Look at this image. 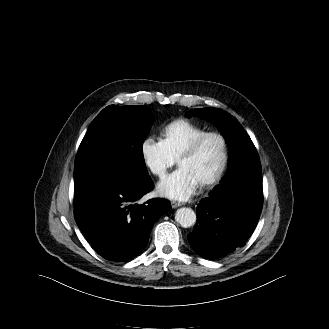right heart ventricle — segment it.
Returning <instances> with one entry per match:
<instances>
[{"instance_id": "e07e8e85", "label": "right heart ventricle", "mask_w": 329, "mask_h": 329, "mask_svg": "<svg viewBox=\"0 0 329 329\" xmlns=\"http://www.w3.org/2000/svg\"><path fill=\"white\" fill-rule=\"evenodd\" d=\"M206 131L204 127L191 121L176 119L162 129L161 140L173 157L178 159L189 143Z\"/></svg>"}]
</instances>
